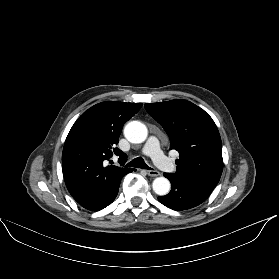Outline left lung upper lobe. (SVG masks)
<instances>
[{"instance_id": "left-lung-upper-lobe-1", "label": "left lung upper lobe", "mask_w": 279, "mask_h": 279, "mask_svg": "<svg viewBox=\"0 0 279 279\" xmlns=\"http://www.w3.org/2000/svg\"><path fill=\"white\" fill-rule=\"evenodd\" d=\"M145 109L168 134L170 149L180 154L176 172L168 174L211 194L223 170L222 143L213 119L187 100L145 104Z\"/></svg>"}]
</instances>
